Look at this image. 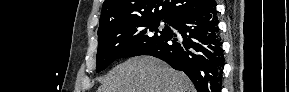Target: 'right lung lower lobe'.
Instances as JSON below:
<instances>
[{"label":"right lung lower lobe","mask_w":289,"mask_h":92,"mask_svg":"<svg viewBox=\"0 0 289 92\" xmlns=\"http://www.w3.org/2000/svg\"><path fill=\"white\" fill-rule=\"evenodd\" d=\"M181 34L171 31L162 41L137 55H151L187 74L198 92H219L224 57L218 29L216 3L176 17L170 22Z\"/></svg>","instance_id":"1"}]
</instances>
